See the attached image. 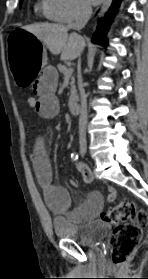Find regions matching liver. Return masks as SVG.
<instances>
[{
	"instance_id": "liver-1",
	"label": "liver",
	"mask_w": 148,
	"mask_h": 279,
	"mask_svg": "<svg viewBox=\"0 0 148 279\" xmlns=\"http://www.w3.org/2000/svg\"><path fill=\"white\" fill-rule=\"evenodd\" d=\"M41 40L54 55L61 54L63 61H72L80 56L85 40L76 33L68 35V27L60 24L39 23L23 27Z\"/></svg>"
}]
</instances>
